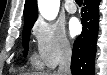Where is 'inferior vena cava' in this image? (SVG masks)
<instances>
[{"label":"inferior vena cava","mask_w":107,"mask_h":75,"mask_svg":"<svg viewBox=\"0 0 107 75\" xmlns=\"http://www.w3.org/2000/svg\"><path fill=\"white\" fill-rule=\"evenodd\" d=\"M72 50L69 44L64 45L59 61L57 75H71Z\"/></svg>","instance_id":"inferior-vena-cava-1"}]
</instances>
